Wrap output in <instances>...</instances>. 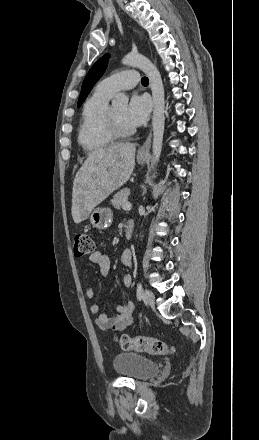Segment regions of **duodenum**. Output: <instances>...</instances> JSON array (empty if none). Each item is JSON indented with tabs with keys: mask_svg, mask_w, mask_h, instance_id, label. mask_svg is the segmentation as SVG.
Segmentation results:
<instances>
[{
	"mask_svg": "<svg viewBox=\"0 0 259 440\" xmlns=\"http://www.w3.org/2000/svg\"><path fill=\"white\" fill-rule=\"evenodd\" d=\"M134 232V222L132 220H128L125 224V238L131 239Z\"/></svg>",
	"mask_w": 259,
	"mask_h": 440,
	"instance_id": "obj_1",
	"label": "duodenum"
}]
</instances>
